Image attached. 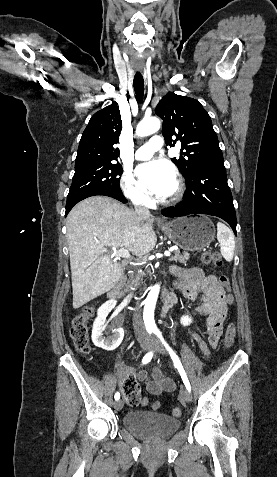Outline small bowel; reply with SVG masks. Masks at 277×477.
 <instances>
[{
    "instance_id": "c3829d8e",
    "label": "small bowel",
    "mask_w": 277,
    "mask_h": 477,
    "mask_svg": "<svg viewBox=\"0 0 277 477\" xmlns=\"http://www.w3.org/2000/svg\"><path fill=\"white\" fill-rule=\"evenodd\" d=\"M174 274L179 278L178 286L183 295L188 299H195L201 294L203 304L196 310L198 314L205 317L204 327L207 341L202 339L197 333L191 336L198 343L205 354H208V345L214 347L217 345L222 333L223 323L227 314L225 286L213 275H205L199 268L180 269L174 267ZM126 380L135 379L129 368L124 369ZM136 378L143 382L147 391L153 395H160L163 392H172L175 389L174 381L165 376L162 371L155 367L151 377L146 372L140 371ZM138 385V384H137ZM141 405H147L148 399L142 398Z\"/></svg>"
}]
</instances>
